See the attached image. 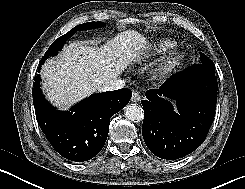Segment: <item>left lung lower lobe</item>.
Here are the masks:
<instances>
[{
    "mask_svg": "<svg viewBox=\"0 0 245 189\" xmlns=\"http://www.w3.org/2000/svg\"><path fill=\"white\" fill-rule=\"evenodd\" d=\"M218 84L215 70L192 65L146 92L142 135L149 150L167 160L182 158L205 140L213 123ZM176 100L177 110L165 99Z\"/></svg>",
    "mask_w": 245,
    "mask_h": 189,
    "instance_id": "left-lung-lower-lobe-1",
    "label": "left lung lower lobe"
}]
</instances>
